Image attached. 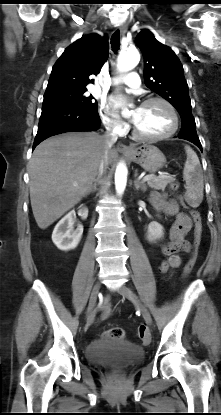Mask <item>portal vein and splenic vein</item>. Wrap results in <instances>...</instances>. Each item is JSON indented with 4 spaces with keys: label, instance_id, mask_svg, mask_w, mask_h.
<instances>
[{
    "label": "portal vein and splenic vein",
    "instance_id": "portal-vein-and-splenic-vein-1",
    "mask_svg": "<svg viewBox=\"0 0 221 415\" xmlns=\"http://www.w3.org/2000/svg\"><path fill=\"white\" fill-rule=\"evenodd\" d=\"M162 177H166L164 174H162L161 175ZM156 176H154V175H146V176H144L143 177V179H142V181L143 182H146V181H148V180H150V179H152V178H155ZM74 186H77V184H74Z\"/></svg>",
    "mask_w": 221,
    "mask_h": 415
}]
</instances>
